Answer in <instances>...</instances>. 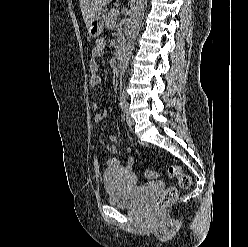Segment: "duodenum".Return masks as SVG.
Listing matches in <instances>:
<instances>
[{
	"instance_id": "duodenum-1",
	"label": "duodenum",
	"mask_w": 248,
	"mask_h": 247,
	"mask_svg": "<svg viewBox=\"0 0 248 247\" xmlns=\"http://www.w3.org/2000/svg\"><path fill=\"white\" fill-rule=\"evenodd\" d=\"M125 58H126V53L123 49H121L116 57V63L118 64V66L121 67L123 65Z\"/></svg>"
}]
</instances>
